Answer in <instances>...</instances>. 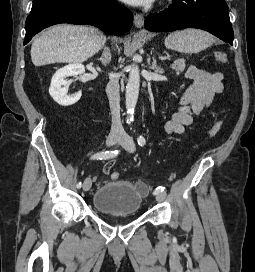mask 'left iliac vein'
I'll return each instance as SVG.
<instances>
[{"mask_svg":"<svg viewBox=\"0 0 255 272\" xmlns=\"http://www.w3.org/2000/svg\"><path fill=\"white\" fill-rule=\"evenodd\" d=\"M119 143L128 152L132 153L135 151V143L129 135H127V134L122 135ZM155 197L158 202H162L166 198V193L165 192H158L155 194Z\"/></svg>","mask_w":255,"mask_h":272,"instance_id":"1","label":"left iliac vein"}]
</instances>
